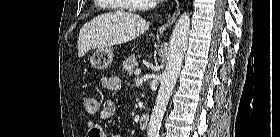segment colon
<instances>
[{"label": "colon", "mask_w": 280, "mask_h": 137, "mask_svg": "<svg viewBox=\"0 0 280 137\" xmlns=\"http://www.w3.org/2000/svg\"><path fill=\"white\" fill-rule=\"evenodd\" d=\"M82 106L88 114H95L99 109V101L93 96H84L82 98Z\"/></svg>", "instance_id": "obj_1"}]
</instances>
